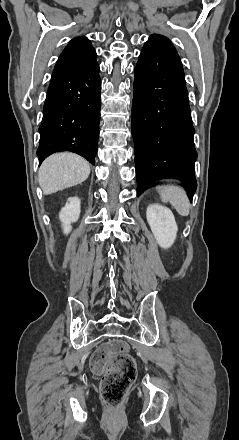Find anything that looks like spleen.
Here are the masks:
<instances>
[{
    "label": "spleen",
    "instance_id": "obj_1",
    "mask_svg": "<svg viewBox=\"0 0 239 440\" xmlns=\"http://www.w3.org/2000/svg\"><path fill=\"white\" fill-rule=\"evenodd\" d=\"M162 202H170L180 216H189V198L180 186H157Z\"/></svg>",
    "mask_w": 239,
    "mask_h": 440
}]
</instances>
